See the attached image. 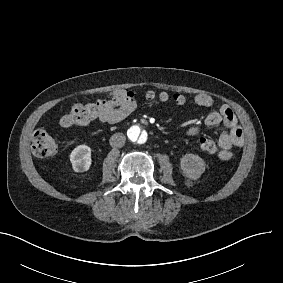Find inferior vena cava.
Returning a JSON list of instances; mask_svg holds the SVG:
<instances>
[{
    "label": "inferior vena cava",
    "instance_id": "602c4592",
    "mask_svg": "<svg viewBox=\"0 0 283 283\" xmlns=\"http://www.w3.org/2000/svg\"><path fill=\"white\" fill-rule=\"evenodd\" d=\"M126 137L123 133H115L111 136L109 142L113 148H121L124 146Z\"/></svg>",
    "mask_w": 283,
    "mask_h": 283
}]
</instances>
